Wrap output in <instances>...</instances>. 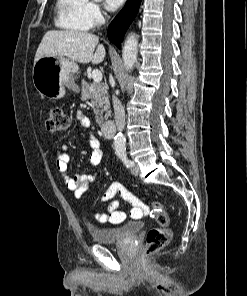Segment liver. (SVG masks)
Listing matches in <instances>:
<instances>
[{"label": "liver", "mask_w": 247, "mask_h": 296, "mask_svg": "<svg viewBox=\"0 0 247 296\" xmlns=\"http://www.w3.org/2000/svg\"><path fill=\"white\" fill-rule=\"evenodd\" d=\"M98 42L99 38L92 33L72 30L48 31L36 51L34 62L42 57L52 56L67 57L83 64H99L104 60L106 51Z\"/></svg>", "instance_id": "1"}]
</instances>
